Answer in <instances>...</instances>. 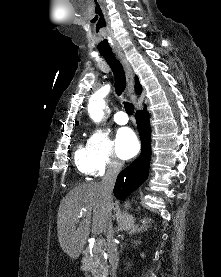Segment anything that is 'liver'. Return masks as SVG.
<instances>
[{"mask_svg": "<svg viewBox=\"0 0 221 277\" xmlns=\"http://www.w3.org/2000/svg\"><path fill=\"white\" fill-rule=\"evenodd\" d=\"M109 220L110 208L103 196L101 183L90 182L76 186L59 205L57 231L60 247L70 258L77 259L90 231L106 233Z\"/></svg>", "mask_w": 221, "mask_h": 277, "instance_id": "obj_1", "label": "liver"}]
</instances>
